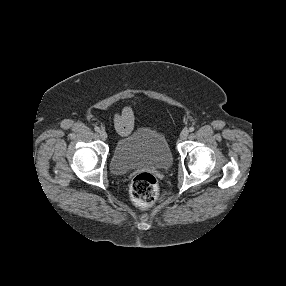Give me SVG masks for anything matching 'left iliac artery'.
I'll list each match as a JSON object with an SVG mask.
<instances>
[{"instance_id": "1", "label": "left iliac artery", "mask_w": 286, "mask_h": 286, "mask_svg": "<svg viewBox=\"0 0 286 286\" xmlns=\"http://www.w3.org/2000/svg\"><path fill=\"white\" fill-rule=\"evenodd\" d=\"M195 130V128L193 127V126H191L190 128H189V131L190 132H193Z\"/></svg>"}]
</instances>
